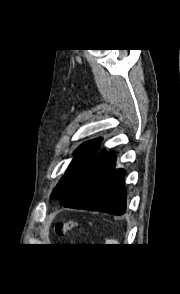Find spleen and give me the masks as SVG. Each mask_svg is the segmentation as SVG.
Segmentation results:
<instances>
[{"label":"spleen","mask_w":180,"mask_h":294,"mask_svg":"<svg viewBox=\"0 0 180 294\" xmlns=\"http://www.w3.org/2000/svg\"><path fill=\"white\" fill-rule=\"evenodd\" d=\"M109 244H117V241H115V240H108L107 241Z\"/></svg>","instance_id":"3e777b00"}]
</instances>
